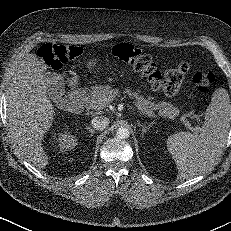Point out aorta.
<instances>
[{
  "instance_id": "762f6f07",
  "label": "aorta",
  "mask_w": 231,
  "mask_h": 231,
  "mask_svg": "<svg viewBox=\"0 0 231 231\" xmlns=\"http://www.w3.org/2000/svg\"><path fill=\"white\" fill-rule=\"evenodd\" d=\"M116 136L118 139H127L130 136L129 129L126 127H119L116 131Z\"/></svg>"
}]
</instances>
